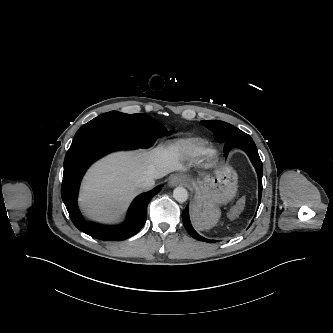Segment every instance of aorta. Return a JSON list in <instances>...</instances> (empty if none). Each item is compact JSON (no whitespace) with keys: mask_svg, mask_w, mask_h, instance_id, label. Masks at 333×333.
Masks as SVG:
<instances>
[{"mask_svg":"<svg viewBox=\"0 0 333 333\" xmlns=\"http://www.w3.org/2000/svg\"><path fill=\"white\" fill-rule=\"evenodd\" d=\"M173 197L179 203H183L188 199V192L184 187L178 186L173 190Z\"/></svg>","mask_w":333,"mask_h":333,"instance_id":"aorta-1","label":"aorta"}]
</instances>
